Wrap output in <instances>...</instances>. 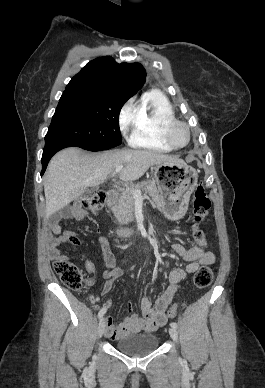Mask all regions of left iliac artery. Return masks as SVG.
Segmentation results:
<instances>
[{"label": "left iliac artery", "mask_w": 265, "mask_h": 388, "mask_svg": "<svg viewBox=\"0 0 265 388\" xmlns=\"http://www.w3.org/2000/svg\"><path fill=\"white\" fill-rule=\"evenodd\" d=\"M170 325H171V327H173L175 329L177 328V323L176 322H172Z\"/></svg>", "instance_id": "obj_1"}]
</instances>
